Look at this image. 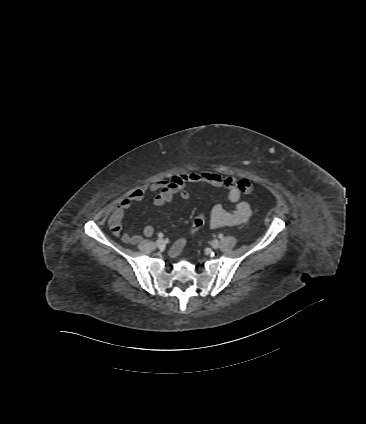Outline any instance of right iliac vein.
<instances>
[{
    "label": "right iliac vein",
    "mask_w": 366,
    "mask_h": 424,
    "mask_svg": "<svg viewBox=\"0 0 366 424\" xmlns=\"http://www.w3.org/2000/svg\"><path fill=\"white\" fill-rule=\"evenodd\" d=\"M156 246L159 247V248H163L165 246V240L164 239H161V238L158 239L156 241Z\"/></svg>",
    "instance_id": "1"
}]
</instances>
